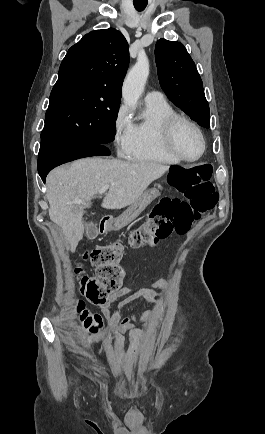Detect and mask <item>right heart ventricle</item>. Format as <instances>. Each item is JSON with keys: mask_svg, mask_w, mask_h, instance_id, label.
<instances>
[{"mask_svg": "<svg viewBox=\"0 0 265 434\" xmlns=\"http://www.w3.org/2000/svg\"><path fill=\"white\" fill-rule=\"evenodd\" d=\"M161 100V103L145 101L138 121L134 124L133 151L127 155L132 162L166 166L181 163L171 154L165 141L166 123L176 112L166 100Z\"/></svg>", "mask_w": 265, "mask_h": 434, "instance_id": "e07e8e85", "label": "right heart ventricle"}]
</instances>
